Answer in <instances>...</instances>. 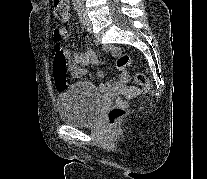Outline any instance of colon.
Returning <instances> with one entry per match:
<instances>
[{
    "label": "colon",
    "instance_id": "1",
    "mask_svg": "<svg viewBox=\"0 0 207 179\" xmlns=\"http://www.w3.org/2000/svg\"><path fill=\"white\" fill-rule=\"evenodd\" d=\"M68 9L67 0H53V11L56 17H61ZM54 42V60L53 69L60 86H66L67 84V60L62 50L61 35L58 32L53 33ZM132 59L129 55H122L116 66L121 71H126V67L130 65ZM135 80L139 85L136 89V94L142 96L147 94L152 87L150 80L140 72H136ZM127 101L122 98H117L108 112V121L110 124L116 123L122 117L125 116L127 110Z\"/></svg>",
    "mask_w": 207,
    "mask_h": 179
}]
</instances>
